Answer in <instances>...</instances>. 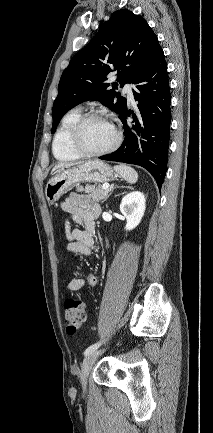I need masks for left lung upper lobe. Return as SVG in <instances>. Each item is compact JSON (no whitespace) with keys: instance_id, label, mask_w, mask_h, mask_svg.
<instances>
[{"instance_id":"obj_1","label":"left lung upper lobe","mask_w":213,"mask_h":433,"mask_svg":"<svg viewBox=\"0 0 213 433\" xmlns=\"http://www.w3.org/2000/svg\"><path fill=\"white\" fill-rule=\"evenodd\" d=\"M159 47L157 36L143 17L126 9L114 12L62 73L52 108V132L67 111L88 100L102 102L121 117L126 98L115 89L133 83ZM113 71H117V82L110 89L105 81Z\"/></svg>"}]
</instances>
